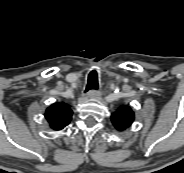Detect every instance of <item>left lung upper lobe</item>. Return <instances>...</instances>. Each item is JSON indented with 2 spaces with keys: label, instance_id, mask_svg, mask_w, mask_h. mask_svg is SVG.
<instances>
[{
  "label": "left lung upper lobe",
  "instance_id": "left-lung-upper-lobe-1",
  "mask_svg": "<svg viewBox=\"0 0 184 173\" xmlns=\"http://www.w3.org/2000/svg\"><path fill=\"white\" fill-rule=\"evenodd\" d=\"M112 123L116 130L124 131L134 121V112L129 106H121L111 116Z\"/></svg>",
  "mask_w": 184,
  "mask_h": 173
}]
</instances>
